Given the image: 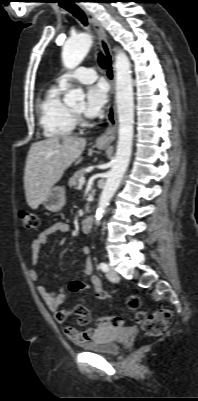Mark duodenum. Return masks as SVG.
Returning <instances> with one entry per match:
<instances>
[{
	"label": "duodenum",
	"mask_w": 198,
	"mask_h": 401,
	"mask_svg": "<svg viewBox=\"0 0 198 401\" xmlns=\"http://www.w3.org/2000/svg\"><path fill=\"white\" fill-rule=\"evenodd\" d=\"M94 219L92 216L85 217L81 222V229L84 233H89L92 229Z\"/></svg>",
	"instance_id": "1"
}]
</instances>
